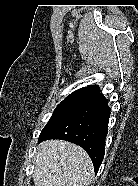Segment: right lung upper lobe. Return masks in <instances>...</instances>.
I'll return each mask as SVG.
<instances>
[{"mask_svg":"<svg viewBox=\"0 0 138 186\" xmlns=\"http://www.w3.org/2000/svg\"><path fill=\"white\" fill-rule=\"evenodd\" d=\"M84 90H90V91H99V86L98 85H90L88 87L81 88Z\"/></svg>","mask_w":138,"mask_h":186,"instance_id":"1","label":"right lung upper lobe"}]
</instances>
